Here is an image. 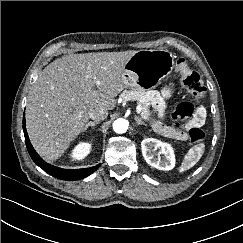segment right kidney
<instances>
[{
    "label": "right kidney",
    "mask_w": 243,
    "mask_h": 243,
    "mask_svg": "<svg viewBox=\"0 0 243 243\" xmlns=\"http://www.w3.org/2000/svg\"><path fill=\"white\" fill-rule=\"evenodd\" d=\"M90 149H91L90 143L82 142L73 149L71 153V157L75 160L84 159L89 154Z\"/></svg>",
    "instance_id": "ca27d5eb"
}]
</instances>
